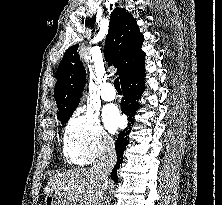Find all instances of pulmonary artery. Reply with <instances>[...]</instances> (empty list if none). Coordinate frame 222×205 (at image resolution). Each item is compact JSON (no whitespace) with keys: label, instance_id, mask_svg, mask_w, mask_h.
<instances>
[{"label":"pulmonary artery","instance_id":"e3ab8cb5","mask_svg":"<svg viewBox=\"0 0 222 205\" xmlns=\"http://www.w3.org/2000/svg\"><path fill=\"white\" fill-rule=\"evenodd\" d=\"M101 98L105 101H113L116 98V91L111 83H105L103 85Z\"/></svg>","mask_w":222,"mask_h":205}]
</instances>
